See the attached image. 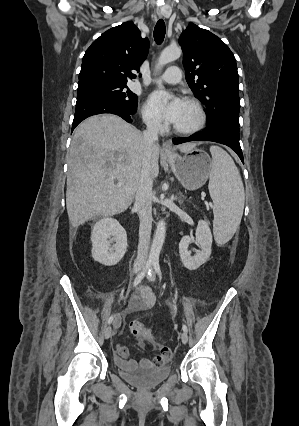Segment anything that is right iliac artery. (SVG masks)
<instances>
[{
  "label": "right iliac artery",
  "instance_id": "1",
  "mask_svg": "<svg viewBox=\"0 0 299 426\" xmlns=\"http://www.w3.org/2000/svg\"><path fill=\"white\" fill-rule=\"evenodd\" d=\"M152 264H153L152 261H147L144 269L136 276L134 280V284H133L134 287L137 286L142 281V279L144 278V276L146 275L148 269L152 266ZM113 319H114V316L111 315L108 318V324H111L113 322Z\"/></svg>",
  "mask_w": 299,
  "mask_h": 426
}]
</instances>
